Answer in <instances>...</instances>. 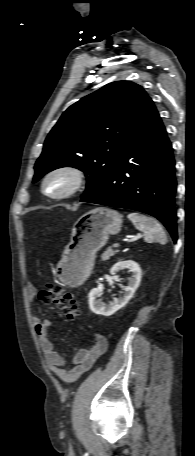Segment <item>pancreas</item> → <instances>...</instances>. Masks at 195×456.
Returning a JSON list of instances; mask_svg holds the SVG:
<instances>
[{
	"instance_id": "obj_1",
	"label": "pancreas",
	"mask_w": 195,
	"mask_h": 456,
	"mask_svg": "<svg viewBox=\"0 0 195 456\" xmlns=\"http://www.w3.org/2000/svg\"><path fill=\"white\" fill-rule=\"evenodd\" d=\"M117 252H118V250H113L111 247H108L107 250L102 254L101 260L102 261H107L112 256H114Z\"/></svg>"
}]
</instances>
